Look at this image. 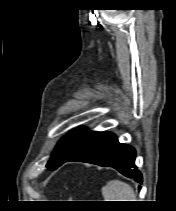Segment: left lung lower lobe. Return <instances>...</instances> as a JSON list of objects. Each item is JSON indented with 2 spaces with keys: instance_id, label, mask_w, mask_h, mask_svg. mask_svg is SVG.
I'll use <instances>...</instances> for the list:
<instances>
[{
  "instance_id": "1",
  "label": "left lung lower lobe",
  "mask_w": 176,
  "mask_h": 211,
  "mask_svg": "<svg viewBox=\"0 0 176 211\" xmlns=\"http://www.w3.org/2000/svg\"><path fill=\"white\" fill-rule=\"evenodd\" d=\"M68 161L113 167L123 175L142 183V175L135 168L134 148L119 143L116 136L110 132L96 133L80 151L65 162Z\"/></svg>"
}]
</instances>
